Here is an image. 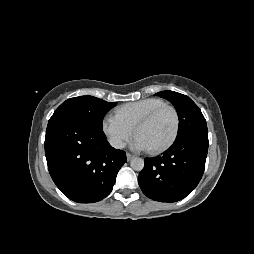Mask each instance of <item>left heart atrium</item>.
<instances>
[{
	"label": "left heart atrium",
	"mask_w": 254,
	"mask_h": 254,
	"mask_svg": "<svg viewBox=\"0 0 254 254\" xmlns=\"http://www.w3.org/2000/svg\"><path fill=\"white\" fill-rule=\"evenodd\" d=\"M132 148L136 150H147L149 149L147 143L144 141V139L140 136H136L135 139L132 142Z\"/></svg>",
	"instance_id": "39dd6f15"
}]
</instances>
